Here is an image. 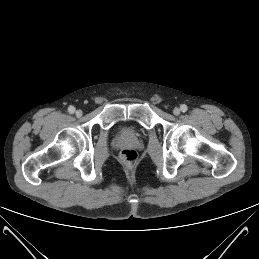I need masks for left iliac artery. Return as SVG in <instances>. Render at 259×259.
I'll use <instances>...</instances> for the list:
<instances>
[{
    "label": "left iliac artery",
    "mask_w": 259,
    "mask_h": 259,
    "mask_svg": "<svg viewBox=\"0 0 259 259\" xmlns=\"http://www.w3.org/2000/svg\"><path fill=\"white\" fill-rule=\"evenodd\" d=\"M180 108H181V111H182V112H186L187 109H188L185 104H182Z\"/></svg>",
    "instance_id": "1"
}]
</instances>
